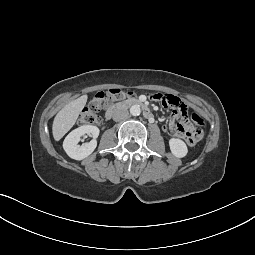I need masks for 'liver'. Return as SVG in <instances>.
I'll use <instances>...</instances> for the list:
<instances>
[{
  "label": "liver",
  "mask_w": 255,
  "mask_h": 255,
  "mask_svg": "<svg viewBox=\"0 0 255 255\" xmlns=\"http://www.w3.org/2000/svg\"><path fill=\"white\" fill-rule=\"evenodd\" d=\"M87 102V96L83 95L78 99L66 104L55 116L52 126V133L55 141H59L76 123V120Z\"/></svg>",
  "instance_id": "liver-1"
}]
</instances>
